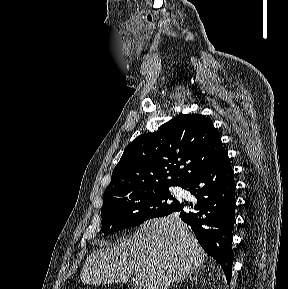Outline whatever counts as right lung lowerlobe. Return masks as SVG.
Instances as JSON below:
<instances>
[{
  "instance_id": "1",
  "label": "right lung lower lobe",
  "mask_w": 288,
  "mask_h": 289,
  "mask_svg": "<svg viewBox=\"0 0 288 289\" xmlns=\"http://www.w3.org/2000/svg\"><path fill=\"white\" fill-rule=\"evenodd\" d=\"M197 199L184 211L179 203L169 214L178 212L198 239L202 248L222 267L228 283L232 275L231 249L235 222V190L233 169L224 151L211 165L190 177L181 185ZM166 216V215H165Z\"/></svg>"
}]
</instances>
